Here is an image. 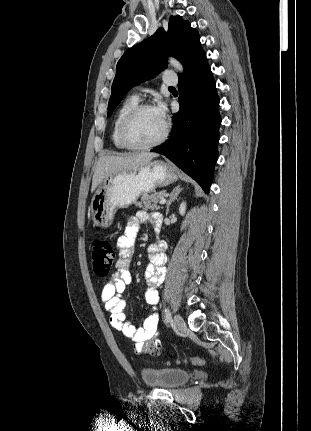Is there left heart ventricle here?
I'll use <instances>...</instances> for the list:
<instances>
[{
	"mask_svg": "<svg viewBox=\"0 0 311 431\" xmlns=\"http://www.w3.org/2000/svg\"><path fill=\"white\" fill-rule=\"evenodd\" d=\"M162 121L153 108L145 110L132 124L130 136L139 144L151 142L158 138L164 130Z\"/></svg>",
	"mask_w": 311,
	"mask_h": 431,
	"instance_id": "obj_1",
	"label": "left heart ventricle"
}]
</instances>
